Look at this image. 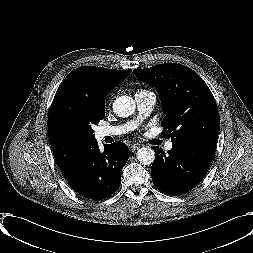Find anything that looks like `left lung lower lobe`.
Instances as JSON below:
<instances>
[{"label":"left lung lower lobe","instance_id":"1","mask_svg":"<svg viewBox=\"0 0 253 253\" xmlns=\"http://www.w3.org/2000/svg\"><path fill=\"white\" fill-rule=\"evenodd\" d=\"M215 147L207 143H173L167 153L154 146L151 167L154 186L171 196L182 195L196 187L206 175Z\"/></svg>","mask_w":253,"mask_h":253}]
</instances>
